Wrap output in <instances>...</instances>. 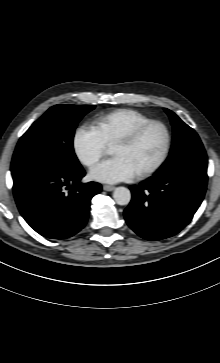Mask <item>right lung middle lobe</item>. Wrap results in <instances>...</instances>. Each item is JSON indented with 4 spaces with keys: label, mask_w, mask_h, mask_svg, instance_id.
Segmentation results:
<instances>
[{
    "label": "right lung middle lobe",
    "mask_w": 220,
    "mask_h": 363,
    "mask_svg": "<svg viewBox=\"0 0 220 363\" xmlns=\"http://www.w3.org/2000/svg\"><path fill=\"white\" fill-rule=\"evenodd\" d=\"M94 105L51 107L20 138L11 163L13 179L36 170L74 172L81 167L73 150L74 131Z\"/></svg>",
    "instance_id": "dd1d6c3e"
}]
</instances>
